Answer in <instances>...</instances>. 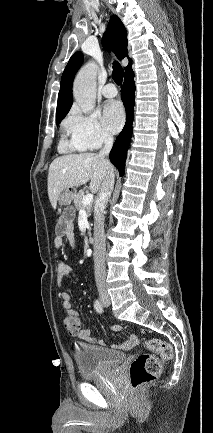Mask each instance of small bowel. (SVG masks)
I'll return each mask as SVG.
<instances>
[{
  "label": "small bowel",
  "mask_w": 213,
  "mask_h": 433,
  "mask_svg": "<svg viewBox=\"0 0 213 433\" xmlns=\"http://www.w3.org/2000/svg\"><path fill=\"white\" fill-rule=\"evenodd\" d=\"M65 239L69 242L71 248H74L76 246V236L74 233L73 220L70 215L63 216L58 220L56 224L55 237L53 242L54 247L56 249L62 248ZM71 273H72V267L68 262L66 261L58 262L56 268V277H57V282L60 285L65 284L67 278L71 275ZM59 296L62 300V306L66 313L76 312L72 308L71 298L68 292L62 291L60 292ZM77 335L79 338L90 343L96 341V339L91 335V330L89 328L81 329ZM137 344H138V338L135 335H132L129 339L125 340L118 347L127 350L136 346Z\"/></svg>",
  "instance_id": "c3829d8e"
}]
</instances>
